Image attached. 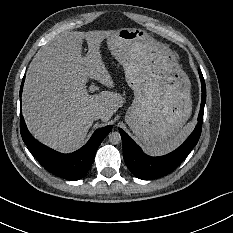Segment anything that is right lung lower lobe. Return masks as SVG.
<instances>
[{
	"instance_id": "1",
	"label": "right lung lower lobe",
	"mask_w": 233,
	"mask_h": 233,
	"mask_svg": "<svg viewBox=\"0 0 233 233\" xmlns=\"http://www.w3.org/2000/svg\"><path fill=\"white\" fill-rule=\"evenodd\" d=\"M24 78L20 88V96L22 94ZM111 129L112 125H109L96 130L90 140L81 149L70 154H62L41 144L30 134L20 111V131L24 143L46 170L67 180H78L88 172L93 163L97 148Z\"/></svg>"
}]
</instances>
